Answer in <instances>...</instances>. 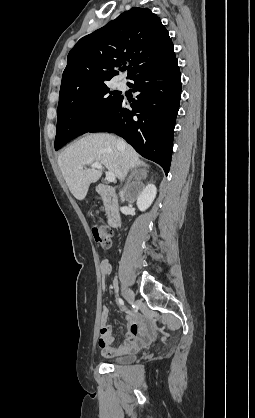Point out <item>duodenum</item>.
Instances as JSON below:
<instances>
[{
	"label": "duodenum",
	"mask_w": 255,
	"mask_h": 418,
	"mask_svg": "<svg viewBox=\"0 0 255 418\" xmlns=\"http://www.w3.org/2000/svg\"><path fill=\"white\" fill-rule=\"evenodd\" d=\"M97 191L106 203L109 225L113 228H117L120 225V214L116 193L112 187L104 184L99 185Z\"/></svg>",
	"instance_id": "obj_1"
}]
</instances>
